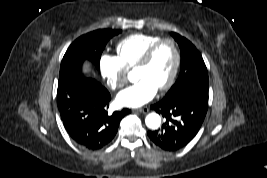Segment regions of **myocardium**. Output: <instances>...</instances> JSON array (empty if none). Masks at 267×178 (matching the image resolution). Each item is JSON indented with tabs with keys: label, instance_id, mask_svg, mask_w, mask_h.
<instances>
[{
	"label": "myocardium",
	"instance_id": "1",
	"mask_svg": "<svg viewBox=\"0 0 267 178\" xmlns=\"http://www.w3.org/2000/svg\"><path fill=\"white\" fill-rule=\"evenodd\" d=\"M165 43L170 44L172 49H173L174 64H173L169 78L167 79V81L163 85H161L158 88L159 91H165V90L169 89L174 84L175 79L177 77V74H178V71L180 68V64H181V52H180V49H179V46H178L176 40H174L173 38H170V37L161 38L160 40H158L157 42L152 44L146 50V52L144 53V55L142 56V58L140 59V61L136 65V68H144V67L148 66L150 64L154 54L158 50V48Z\"/></svg>",
	"mask_w": 267,
	"mask_h": 178
}]
</instances>
